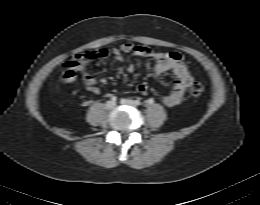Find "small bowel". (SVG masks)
<instances>
[{
  "mask_svg": "<svg viewBox=\"0 0 260 205\" xmlns=\"http://www.w3.org/2000/svg\"><path fill=\"white\" fill-rule=\"evenodd\" d=\"M123 54L151 58L154 61L153 71L155 75H160L166 71H172L176 80L170 92L163 97V103L167 107H173L183 100L185 91L192 83L193 77L185 65L182 56L178 52H156L150 47L132 43H124L118 48L111 50L112 57L117 61L123 59ZM107 55V50L103 49L101 58H105ZM134 69L135 66L133 63H130L127 67L129 72H133ZM79 78L83 81L89 92L93 94L100 93V89L96 85L95 80L87 70L78 63L77 58L68 60L63 64L62 71L56 80V86L58 90H60L62 86L72 83ZM137 90L141 94L147 93V88L144 85L138 86ZM112 94H114V92L109 93V95Z\"/></svg>",
  "mask_w": 260,
  "mask_h": 205,
  "instance_id": "c3829d8e",
  "label": "small bowel"
}]
</instances>
